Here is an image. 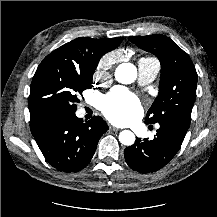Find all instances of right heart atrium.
Here are the masks:
<instances>
[{"instance_id":"right-heart-atrium-1","label":"right heart atrium","mask_w":217,"mask_h":217,"mask_svg":"<svg viewBox=\"0 0 217 217\" xmlns=\"http://www.w3.org/2000/svg\"><path fill=\"white\" fill-rule=\"evenodd\" d=\"M113 62H114L113 54H106L101 58L97 66V70L95 72V79L97 81H104L109 78L110 70L113 65Z\"/></svg>"}]
</instances>
